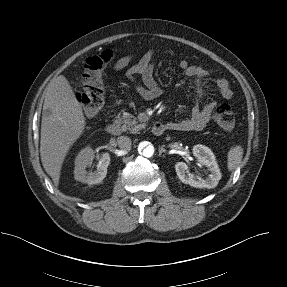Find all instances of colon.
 <instances>
[{
    "instance_id": "5ec220e1",
    "label": "colon",
    "mask_w": 287,
    "mask_h": 287,
    "mask_svg": "<svg viewBox=\"0 0 287 287\" xmlns=\"http://www.w3.org/2000/svg\"><path fill=\"white\" fill-rule=\"evenodd\" d=\"M112 50H106L87 59L86 71L82 78V91L77 99L86 115L96 114L104 104V86L102 72L114 59ZM214 120L224 130L230 131L235 126V115L227 103H220L213 110Z\"/></svg>"
}]
</instances>
